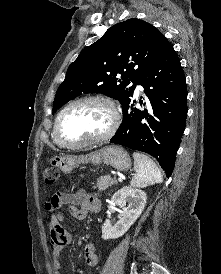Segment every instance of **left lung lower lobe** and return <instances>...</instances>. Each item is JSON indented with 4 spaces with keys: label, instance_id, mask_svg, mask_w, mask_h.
<instances>
[{
    "label": "left lung lower lobe",
    "instance_id": "1",
    "mask_svg": "<svg viewBox=\"0 0 221 274\" xmlns=\"http://www.w3.org/2000/svg\"><path fill=\"white\" fill-rule=\"evenodd\" d=\"M137 84L143 86L148 101H140L142 110L132 99L123 107V121L110 142L152 155L170 177L187 115L185 75L171 45Z\"/></svg>",
    "mask_w": 221,
    "mask_h": 274
}]
</instances>
